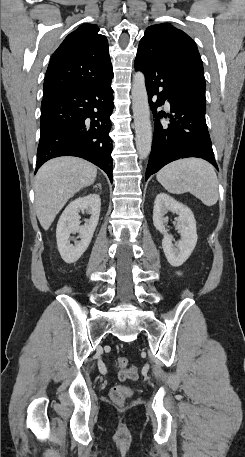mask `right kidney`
<instances>
[{
    "mask_svg": "<svg viewBox=\"0 0 245 457\" xmlns=\"http://www.w3.org/2000/svg\"><path fill=\"white\" fill-rule=\"evenodd\" d=\"M101 208V198L99 194H87L72 200L65 210H63L57 224L56 239L59 251H64L69 257V263H75L85 253L91 243L94 231L98 224ZM79 212L91 214L90 218H84L85 222L80 226ZM71 233H79V239L70 237ZM70 241H75V245H70Z\"/></svg>",
    "mask_w": 245,
    "mask_h": 457,
    "instance_id": "ca27d5eb",
    "label": "right kidney"
}]
</instances>
